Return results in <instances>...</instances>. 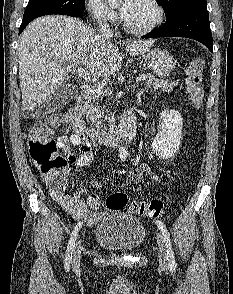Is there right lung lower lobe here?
I'll list each match as a JSON object with an SVG mask.
<instances>
[{
    "instance_id": "right-lung-lower-lobe-1",
    "label": "right lung lower lobe",
    "mask_w": 233,
    "mask_h": 294,
    "mask_svg": "<svg viewBox=\"0 0 233 294\" xmlns=\"http://www.w3.org/2000/svg\"><path fill=\"white\" fill-rule=\"evenodd\" d=\"M83 15L81 16H76V17H79L81 18ZM28 23H22L21 26H20V29H19V33H21L23 31V29L27 26Z\"/></svg>"
}]
</instances>
